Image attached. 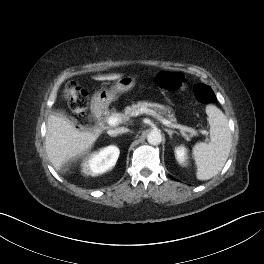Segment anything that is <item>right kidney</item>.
I'll return each mask as SVG.
<instances>
[{"label": "right kidney", "instance_id": "obj_1", "mask_svg": "<svg viewBox=\"0 0 264 264\" xmlns=\"http://www.w3.org/2000/svg\"><path fill=\"white\" fill-rule=\"evenodd\" d=\"M120 150L116 146H108L94 153L83 164V172L89 175L102 174L112 169L119 157Z\"/></svg>", "mask_w": 264, "mask_h": 264}]
</instances>
